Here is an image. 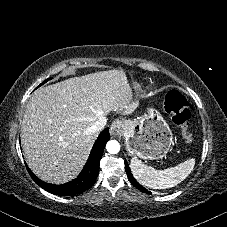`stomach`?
Returning <instances> with one entry per match:
<instances>
[{"label":"stomach","mask_w":227,"mask_h":227,"mask_svg":"<svg viewBox=\"0 0 227 227\" xmlns=\"http://www.w3.org/2000/svg\"><path fill=\"white\" fill-rule=\"evenodd\" d=\"M123 136L129 154L142 159H160L172 145V132L155 109L134 120L123 122Z\"/></svg>","instance_id":"1"}]
</instances>
